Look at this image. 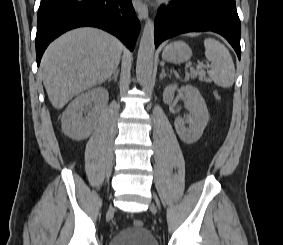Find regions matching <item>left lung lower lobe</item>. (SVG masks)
<instances>
[{"label": "left lung lower lobe", "mask_w": 283, "mask_h": 245, "mask_svg": "<svg viewBox=\"0 0 283 245\" xmlns=\"http://www.w3.org/2000/svg\"><path fill=\"white\" fill-rule=\"evenodd\" d=\"M193 31H213L222 35L240 59L241 23L235 1L173 0L161 6L155 18V47L165 39Z\"/></svg>", "instance_id": "left-lung-lower-lobe-1"}]
</instances>
